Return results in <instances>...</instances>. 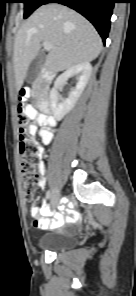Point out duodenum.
Masks as SVG:
<instances>
[{
	"instance_id": "1",
	"label": "duodenum",
	"mask_w": 136,
	"mask_h": 296,
	"mask_svg": "<svg viewBox=\"0 0 136 296\" xmlns=\"http://www.w3.org/2000/svg\"><path fill=\"white\" fill-rule=\"evenodd\" d=\"M54 79L53 73L48 69H43L42 71V92L39 96L38 105L40 110L45 114V123L48 126H53L55 124V120L52 115V107L51 101L46 93V87L52 82Z\"/></svg>"
}]
</instances>
